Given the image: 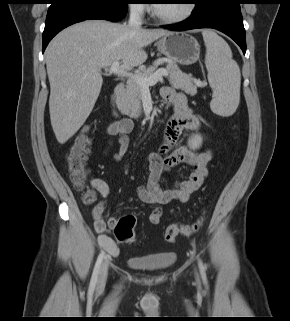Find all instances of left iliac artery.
<instances>
[{
  "label": "left iliac artery",
  "mask_w": 290,
  "mask_h": 321,
  "mask_svg": "<svg viewBox=\"0 0 290 321\" xmlns=\"http://www.w3.org/2000/svg\"><path fill=\"white\" fill-rule=\"evenodd\" d=\"M199 267H200V271H201V275L202 278L204 280L205 283H207V278H206V266L203 264L202 260L199 259Z\"/></svg>",
  "instance_id": "obj_1"
}]
</instances>
